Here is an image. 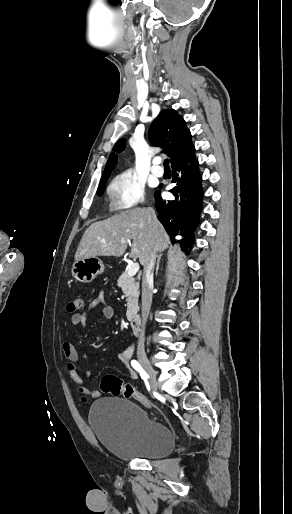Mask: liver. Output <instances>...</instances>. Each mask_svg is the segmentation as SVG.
<instances>
[{
    "instance_id": "liver-1",
    "label": "liver",
    "mask_w": 292,
    "mask_h": 514,
    "mask_svg": "<svg viewBox=\"0 0 292 514\" xmlns=\"http://www.w3.org/2000/svg\"><path fill=\"white\" fill-rule=\"evenodd\" d=\"M128 240H133L129 258H139L142 266L147 264L152 252H164L170 244L168 234L157 218H153L151 208H133L91 224L82 236L75 260L123 256Z\"/></svg>"
}]
</instances>
